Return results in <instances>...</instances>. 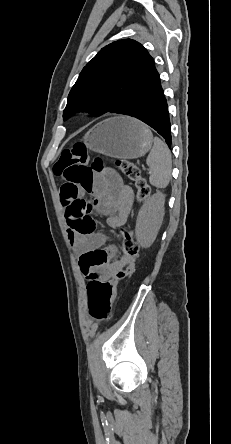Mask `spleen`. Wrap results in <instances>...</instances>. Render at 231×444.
Here are the masks:
<instances>
[{
  "instance_id": "spleen-1",
  "label": "spleen",
  "mask_w": 231,
  "mask_h": 444,
  "mask_svg": "<svg viewBox=\"0 0 231 444\" xmlns=\"http://www.w3.org/2000/svg\"><path fill=\"white\" fill-rule=\"evenodd\" d=\"M146 163L150 168V184L156 188H165L171 179L172 159L169 148L160 138H154Z\"/></svg>"
}]
</instances>
